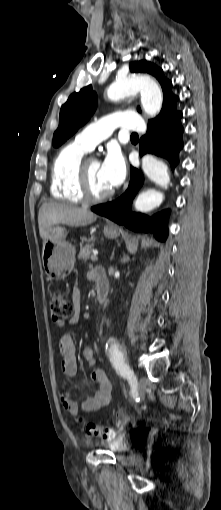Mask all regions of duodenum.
<instances>
[{
	"mask_svg": "<svg viewBox=\"0 0 221 510\" xmlns=\"http://www.w3.org/2000/svg\"><path fill=\"white\" fill-rule=\"evenodd\" d=\"M94 280L96 286V299L98 303L101 304L106 300L109 291L108 278L102 268L95 269Z\"/></svg>",
	"mask_w": 221,
	"mask_h": 510,
	"instance_id": "410a0bca",
	"label": "duodenum"
}]
</instances>
